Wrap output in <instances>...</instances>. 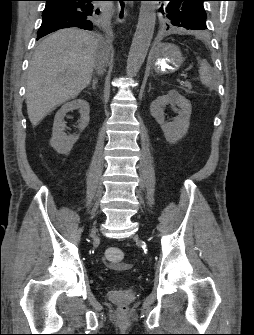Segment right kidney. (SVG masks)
Wrapping results in <instances>:
<instances>
[{"instance_id":"right-kidney-1","label":"right kidney","mask_w":254,"mask_h":335,"mask_svg":"<svg viewBox=\"0 0 254 335\" xmlns=\"http://www.w3.org/2000/svg\"><path fill=\"white\" fill-rule=\"evenodd\" d=\"M73 110H79L80 120L78 128L80 131H83L89 124L90 106L87 101L83 99L73 100L71 102L65 103L60 108L54 118L52 137L50 139L51 147H53L60 154H68L79 138L78 134L68 136L64 132L66 127L64 117L66 116V113Z\"/></svg>"}]
</instances>
